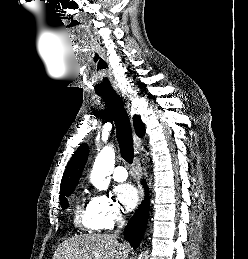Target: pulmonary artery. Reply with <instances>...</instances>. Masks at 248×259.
<instances>
[{"label": "pulmonary artery", "instance_id": "1", "mask_svg": "<svg viewBox=\"0 0 248 259\" xmlns=\"http://www.w3.org/2000/svg\"><path fill=\"white\" fill-rule=\"evenodd\" d=\"M127 171L123 166H117L113 171V178L117 182H123L127 179Z\"/></svg>", "mask_w": 248, "mask_h": 259}]
</instances>
